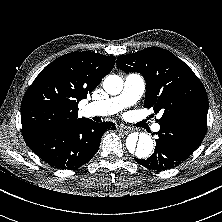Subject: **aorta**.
<instances>
[{
	"instance_id": "aorta-1",
	"label": "aorta",
	"mask_w": 222,
	"mask_h": 222,
	"mask_svg": "<svg viewBox=\"0 0 222 222\" xmlns=\"http://www.w3.org/2000/svg\"><path fill=\"white\" fill-rule=\"evenodd\" d=\"M103 88L108 94L117 95L123 89V80L118 75H109L103 81ZM125 144L128 153L139 159L147 158L154 146L153 139L147 133H132Z\"/></svg>"
}]
</instances>
